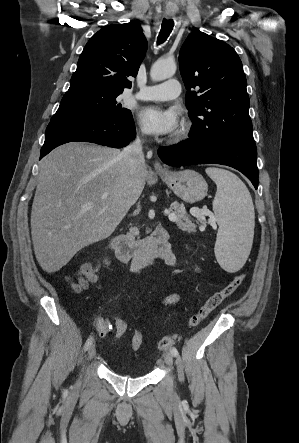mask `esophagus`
<instances>
[{"instance_id": "obj_1", "label": "esophagus", "mask_w": 299, "mask_h": 443, "mask_svg": "<svg viewBox=\"0 0 299 443\" xmlns=\"http://www.w3.org/2000/svg\"><path fill=\"white\" fill-rule=\"evenodd\" d=\"M173 15H174L173 11L170 10L166 11L167 18H171L173 17ZM154 169L157 172H164L166 170L159 161L154 162Z\"/></svg>"}]
</instances>
